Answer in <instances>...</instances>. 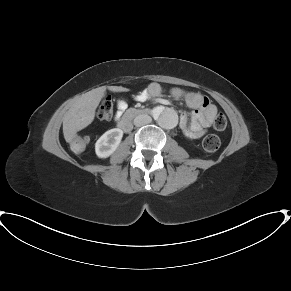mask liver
Returning <instances> with one entry per match:
<instances>
[{
	"label": "liver",
	"mask_w": 291,
	"mask_h": 291,
	"mask_svg": "<svg viewBox=\"0 0 291 291\" xmlns=\"http://www.w3.org/2000/svg\"><path fill=\"white\" fill-rule=\"evenodd\" d=\"M106 89L112 92L128 90L121 86H102L85 93L77 99L63 117V133L66 141L70 142L78 131L93 122L96 108L104 97Z\"/></svg>",
	"instance_id": "6515ba94"
}]
</instances>
